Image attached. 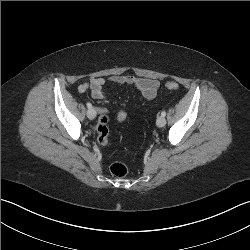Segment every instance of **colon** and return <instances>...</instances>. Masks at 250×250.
<instances>
[{"mask_svg": "<svg viewBox=\"0 0 250 250\" xmlns=\"http://www.w3.org/2000/svg\"><path fill=\"white\" fill-rule=\"evenodd\" d=\"M165 87L168 90H178L179 85L176 82L170 81L165 84ZM117 118H116V123L117 124H122L126 118H127V113L123 110H118L117 111ZM97 134H98V144L101 147H106L109 144V139H108V117L106 114H102L99 117L98 123H97ZM110 172L113 176L117 178H123L126 176L128 169L127 166L123 162H114L110 166Z\"/></svg>", "mask_w": 250, "mask_h": 250, "instance_id": "obj_1", "label": "colon"}]
</instances>
